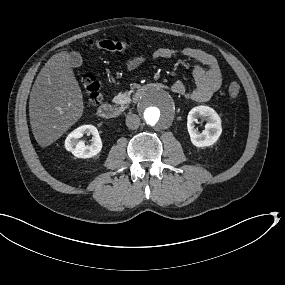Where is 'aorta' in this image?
<instances>
[{
    "mask_svg": "<svg viewBox=\"0 0 285 285\" xmlns=\"http://www.w3.org/2000/svg\"><path fill=\"white\" fill-rule=\"evenodd\" d=\"M140 113L142 118L150 125H167L176 116V99L167 90H150L141 99Z\"/></svg>",
    "mask_w": 285,
    "mask_h": 285,
    "instance_id": "aorta-1",
    "label": "aorta"
}]
</instances>
